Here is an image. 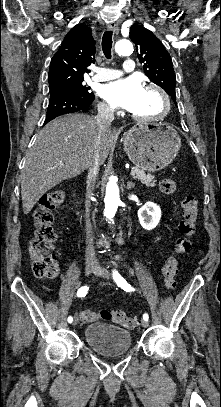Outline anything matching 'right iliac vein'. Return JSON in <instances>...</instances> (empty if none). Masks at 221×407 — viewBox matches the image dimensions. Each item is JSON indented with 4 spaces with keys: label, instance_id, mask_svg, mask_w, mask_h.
<instances>
[{
    "label": "right iliac vein",
    "instance_id": "63e3f726",
    "mask_svg": "<svg viewBox=\"0 0 221 407\" xmlns=\"http://www.w3.org/2000/svg\"><path fill=\"white\" fill-rule=\"evenodd\" d=\"M96 270H97L96 266H94L93 264H87L86 269H85V275L88 276L92 272H96ZM77 323H78V317L75 316L74 320H73V325L75 326Z\"/></svg>",
    "mask_w": 221,
    "mask_h": 407
}]
</instances>
